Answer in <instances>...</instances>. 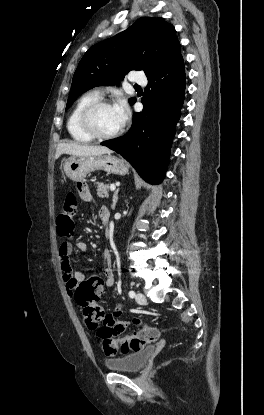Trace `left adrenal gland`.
<instances>
[{
  "label": "left adrenal gland",
  "instance_id": "left-adrenal-gland-1",
  "mask_svg": "<svg viewBox=\"0 0 264 415\" xmlns=\"http://www.w3.org/2000/svg\"><path fill=\"white\" fill-rule=\"evenodd\" d=\"M118 192H119V188L114 192V195H113V200H112L113 202L111 205L112 210H115V206L118 200Z\"/></svg>",
  "mask_w": 264,
  "mask_h": 415
}]
</instances>
